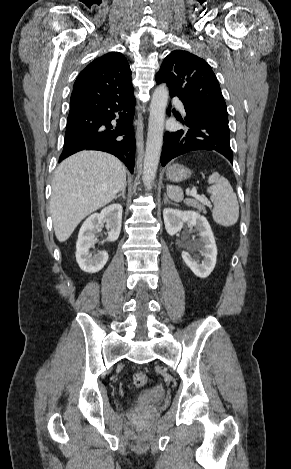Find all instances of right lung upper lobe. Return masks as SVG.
<instances>
[{"label": "right lung upper lobe", "instance_id": "right-lung-upper-lobe-1", "mask_svg": "<svg viewBox=\"0 0 291 469\" xmlns=\"http://www.w3.org/2000/svg\"><path fill=\"white\" fill-rule=\"evenodd\" d=\"M116 93L122 97L133 95L131 70L119 52H110L92 61L77 77L70 105Z\"/></svg>", "mask_w": 291, "mask_h": 469}]
</instances>
